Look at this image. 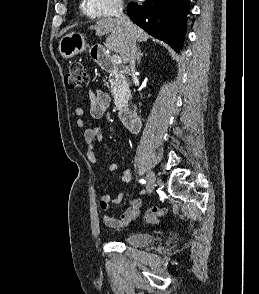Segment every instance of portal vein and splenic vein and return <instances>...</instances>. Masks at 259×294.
<instances>
[{"mask_svg": "<svg viewBox=\"0 0 259 294\" xmlns=\"http://www.w3.org/2000/svg\"><path fill=\"white\" fill-rule=\"evenodd\" d=\"M112 62L115 63V64H121L122 63V59L118 55H113Z\"/></svg>", "mask_w": 259, "mask_h": 294, "instance_id": "18ae733b", "label": "portal vein and splenic vein"}]
</instances>
